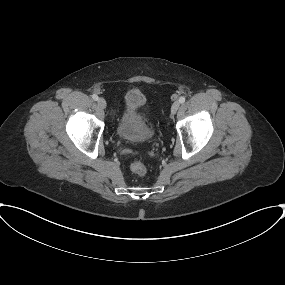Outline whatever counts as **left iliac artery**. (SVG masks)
<instances>
[{
  "label": "left iliac artery",
  "instance_id": "44dca946",
  "mask_svg": "<svg viewBox=\"0 0 285 285\" xmlns=\"http://www.w3.org/2000/svg\"><path fill=\"white\" fill-rule=\"evenodd\" d=\"M185 97L184 96H181L180 98H179V102L182 104V103H184L185 102Z\"/></svg>",
  "mask_w": 285,
  "mask_h": 285
}]
</instances>
